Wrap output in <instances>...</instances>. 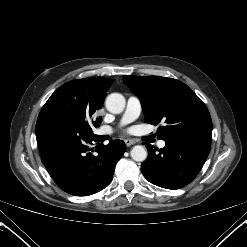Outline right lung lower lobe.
I'll use <instances>...</instances> for the list:
<instances>
[{
	"mask_svg": "<svg viewBox=\"0 0 247 247\" xmlns=\"http://www.w3.org/2000/svg\"><path fill=\"white\" fill-rule=\"evenodd\" d=\"M41 159L55 183L75 196L94 194L112 181L115 166L126 150L121 140L103 145L102 135L76 118L55 110H41L36 123ZM97 143V155L89 145Z\"/></svg>",
	"mask_w": 247,
	"mask_h": 247,
	"instance_id": "1",
	"label": "right lung lower lobe"
}]
</instances>
